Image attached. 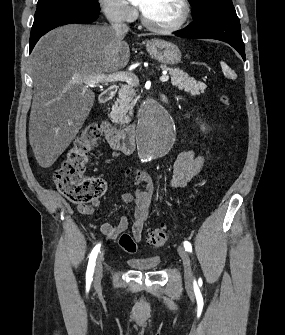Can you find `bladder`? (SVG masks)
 I'll return each mask as SVG.
<instances>
[{
  "mask_svg": "<svg viewBox=\"0 0 285 335\" xmlns=\"http://www.w3.org/2000/svg\"><path fill=\"white\" fill-rule=\"evenodd\" d=\"M161 264V256H152L146 258H126V265H129L136 271L153 272L155 265Z\"/></svg>",
  "mask_w": 285,
  "mask_h": 335,
  "instance_id": "bladder-1",
  "label": "bladder"
}]
</instances>
